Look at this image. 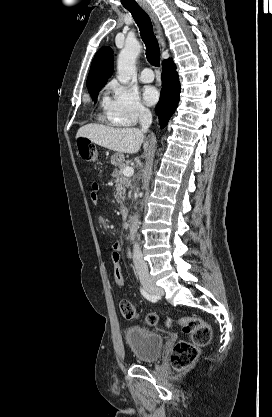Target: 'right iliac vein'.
<instances>
[{"label": "right iliac vein", "instance_id": "right-iliac-vein-1", "mask_svg": "<svg viewBox=\"0 0 272 417\" xmlns=\"http://www.w3.org/2000/svg\"><path fill=\"white\" fill-rule=\"evenodd\" d=\"M140 280L145 289L153 295L161 296L164 294L162 288L158 287L149 277L141 276Z\"/></svg>", "mask_w": 272, "mask_h": 417}]
</instances>
